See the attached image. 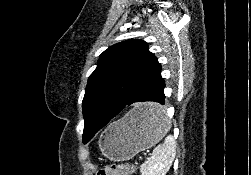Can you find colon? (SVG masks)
I'll list each match as a JSON object with an SVG mask.
<instances>
[{
    "label": "colon",
    "mask_w": 251,
    "mask_h": 175,
    "mask_svg": "<svg viewBox=\"0 0 251 175\" xmlns=\"http://www.w3.org/2000/svg\"><path fill=\"white\" fill-rule=\"evenodd\" d=\"M136 166L132 163H119L108 165L99 170L97 175H133Z\"/></svg>",
    "instance_id": "1"
}]
</instances>
